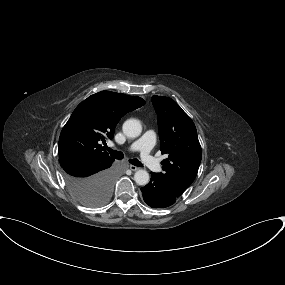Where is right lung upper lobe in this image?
Returning a JSON list of instances; mask_svg holds the SVG:
<instances>
[{"label":"right lung upper lobe","mask_w":285,"mask_h":285,"mask_svg":"<svg viewBox=\"0 0 285 285\" xmlns=\"http://www.w3.org/2000/svg\"><path fill=\"white\" fill-rule=\"evenodd\" d=\"M144 104L140 97L110 91L98 92L81 102L60 134L61 167L84 159H111L99 143L112 139L121 117Z\"/></svg>","instance_id":"obj_1"}]
</instances>
